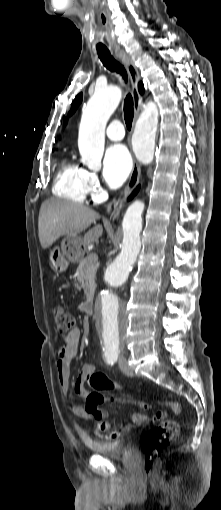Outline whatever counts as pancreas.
Masks as SVG:
<instances>
[{"label": "pancreas", "mask_w": 221, "mask_h": 510, "mask_svg": "<svg viewBox=\"0 0 221 510\" xmlns=\"http://www.w3.org/2000/svg\"><path fill=\"white\" fill-rule=\"evenodd\" d=\"M92 255L93 253L81 259L77 268L79 273L77 280L81 283V287L84 289L86 295L89 294L90 286L94 283V276L97 269V260H93Z\"/></svg>", "instance_id": "cf45deb5"}]
</instances>
